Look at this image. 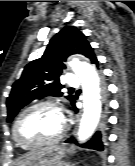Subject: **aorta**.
<instances>
[{
  "mask_svg": "<svg viewBox=\"0 0 135 166\" xmlns=\"http://www.w3.org/2000/svg\"><path fill=\"white\" fill-rule=\"evenodd\" d=\"M69 66L79 77L83 90V115L78 130V140L86 141L94 132L100 119L101 96L99 77L95 68L85 61L73 59Z\"/></svg>",
  "mask_w": 135,
  "mask_h": 166,
  "instance_id": "obj_1",
  "label": "aorta"
}]
</instances>
